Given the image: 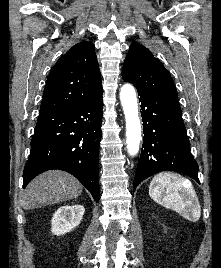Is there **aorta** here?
Masks as SVG:
<instances>
[{
    "label": "aorta",
    "instance_id": "1",
    "mask_svg": "<svg viewBox=\"0 0 221 268\" xmlns=\"http://www.w3.org/2000/svg\"><path fill=\"white\" fill-rule=\"evenodd\" d=\"M120 100L126 120V143L128 153L134 156L139 151L141 124L138 113L136 92L131 84H125L120 91Z\"/></svg>",
    "mask_w": 221,
    "mask_h": 268
}]
</instances>
